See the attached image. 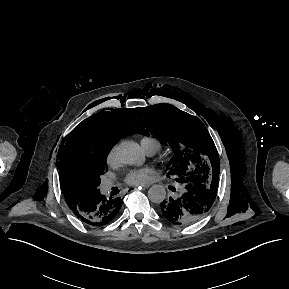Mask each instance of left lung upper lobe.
I'll return each mask as SVG.
<instances>
[{
    "label": "left lung upper lobe",
    "mask_w": 289,
    "mask_h": 289,
    "mask_svg": "<svg viewBox=\"0 0 289 289\" xmlns=\"http://www.w3.org/2000/svg\"><path fill=\"white\" fill-rule=\"evenodd\" d=\"M137 132L159 136L175 153L168 175L182 184L193 179L209 182L219 178V157L207 128L198 118L168 104L138 108ZM141 116V118H140Z\"/></svg>",
    "instance_id": "obj_1"
}]
</instances>
